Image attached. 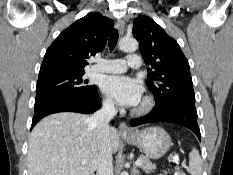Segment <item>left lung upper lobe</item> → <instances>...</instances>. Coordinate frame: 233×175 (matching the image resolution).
Returning <instances> with one entry per match:
<instances>
[{"label":"left lung upper lobe","instance_id":"5c2ea615","mask_svg":"<svg viewBox=\"0 0 233 175\" xmlns=\"http://www.w3.org/2000/svg\"><path fill=\"white\" fill-rule=\"evenodd\" d=\"M132 32L139 41L145 63L152 66L146 85L155 98L153 110H164L177 103H195L189 63L177 41L146 16L134 20Z\"/></svg>","mask_w":233,"mask_h":175}]
</instances>
